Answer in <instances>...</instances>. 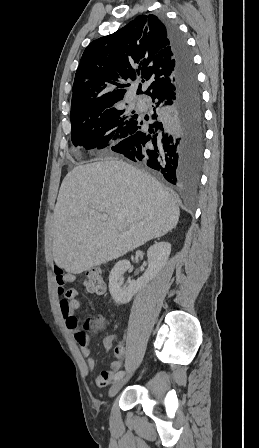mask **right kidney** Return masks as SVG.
Listing matches in <instances>:
<instances>
[{"label": "right kidney", "instance_id": "1", "mask_svg": "<svg viewBox=\"0 0 259 448\" xmlns=\"http://www.w3.org/2000/svg\"><path fill=\"white\" fill-rule=\"evenodd\" d=\"M171 252V244L168 242H159L151 246L147 252L148 268L138 280H129V286L127 288H121L123 286L124 278L123 274L130 270L131 264L129 260H120L112 268L109 276V292L115 302V304H128L134 294L146 286L150 280L155 278L156 274L161 272L162 268L166 266L168 258Z\"/></svg>", "mask_w": 259, "mask_h": 448}]
</instances>
